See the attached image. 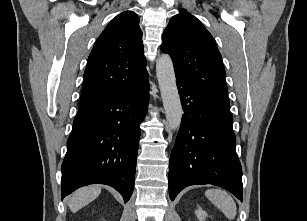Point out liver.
Returning a JSON list of instances; mask_svg holds the SVG:
<instances>
[{
    "mask_svg": "<svg viewBox=\"0 0 307 221\" xmlns=\"http://www.w3.org/2000/svg\"><path fill=\"white\" fill-rule=\"evenodd\" d=\"M101 193V187L98 185H92L80 188L75 191L69 199L68 205L73 213L92 202Z\"/></svg>",
    "mask_w": 307,
    "mask_h": 221,
    "instance_id": "liver-1",
    "label": "liver"
}]
</instances>
